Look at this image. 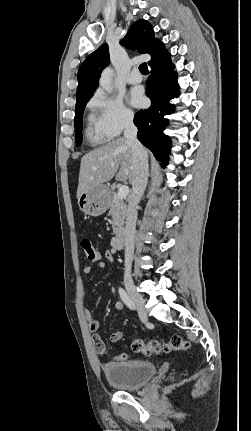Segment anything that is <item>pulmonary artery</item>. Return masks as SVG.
Returning a JSON list of instances; mask_svg holds the SVG:
<instances>
[{
    "mask_svg": "<svg viewBox=\"0 0 251 431\" xmlns=\"http://www.w3.org/2000/svg\"><path fill=\"white\" fill-rule=\"evenodd\" d=\"M141 80H142V77H141L140 73L138 72V70H136V69L129 72L128 75L126 76V81L129 84H137V83H140Z\"/></svg>",
    "mask_w": 251,
    "mask_h": 431,
    "instance_id": "obj_1",
    "label": "pulmonary artery"
}]
</instances>
